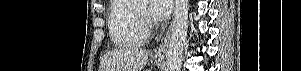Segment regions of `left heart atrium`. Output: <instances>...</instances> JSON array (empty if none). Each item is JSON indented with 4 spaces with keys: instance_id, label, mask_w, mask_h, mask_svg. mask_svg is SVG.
I'll return each instance as SVG.
<instances>
[{
    "instance_id": "left-heart-atrium-1",
    "label": "left heart atrium",
    "mask_w": 301,
    "mask_h": 71,
    "mask_svg": "<svg viewBox=\"0 0 301 71\" xmlns=\"http://www.w3.org/2000/svg\"><path fill=\"white\" fill-rule=\"evenodd\" d=\"M149 4V14L157 22L165 20L171 12L172 0H151Z\"/></svg>"
}]
</instances>
